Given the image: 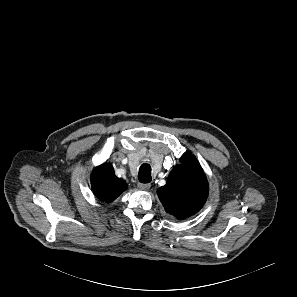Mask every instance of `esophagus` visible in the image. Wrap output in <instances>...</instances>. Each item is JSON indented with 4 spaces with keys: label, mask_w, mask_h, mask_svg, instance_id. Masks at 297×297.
<instances>
[{
    "label": "esophagus",
    "mask_w": 297,
    "mask_h": 297,
    "mask_svg": "<svg viewBox=\"0 0 297 297\" xmlns=\"http://www.w3.org/2000/svg\"><path fill=\"white\" fill-rule=\"evenodd\" d=\"M138 187L141 190H148L151 187V185L149 183H138Z\"/></svg>",
    "instance_id": "obj_1"
}]
</instances>
